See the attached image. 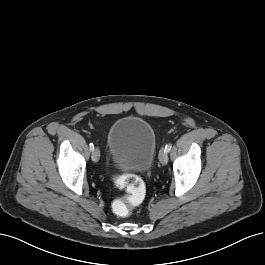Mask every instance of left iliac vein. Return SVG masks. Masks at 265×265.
I'll return each mask as SVG.
<instances>
[{"label":"left iliac vein","instance_id":"left-iliac-vein-1","mask_svg":"<svg viewBox=\"0 0 265 265\" xmlns=\"http://www.w3.org/2000/svg\"><path fill=\"white\" fill-rule=\"evenodd\" d=\"M159 161L162 165H166L168 163V154L165 149H162L159 152Z\"/></svg>","mask_w":265,"mask_h":265}]
</instances>
